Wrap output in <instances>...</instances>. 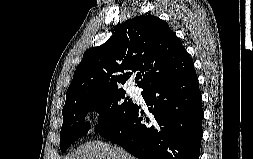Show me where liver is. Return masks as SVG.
<instances>
[{"mask_svg": "<svg viewBox=\"0 0 253 159\" xmlns=\"http://www.w3.org/2000/svg\"><path fill=\"white\" fill-rule=\"evenodd\" d=\"M65 159H136L123 148L100 141L79 146Z\"/></svg>", "mask_w": 253, "mask_h": 159, "instance_id": "liver-1", "label": "liver"}]
</instances>
